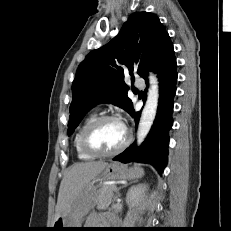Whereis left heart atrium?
I'll list each match as a JSON object with an SVG mask.
<instances>
[{
	"mask_svg": "<svg viewBox=\"0 0 231 231\" xmlns=\"http://www.w3.org/2000/svg\"><path fill=\"white\" fill-rule=\"evenodd\" d=\"M122 124V126L125 128V124L124 123H121Z\"/></svg>",
	"mask_w": 231,
	"mask_h": 231,
	"instance_id": "obj_1",
	"label": "left heart atrium"
}]
</instances>
